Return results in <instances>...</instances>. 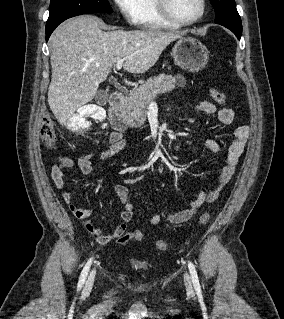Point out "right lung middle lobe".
<instances>
[{
  "instance_id": "obj_1",
  "label": "right lung middle lobe",
  "mask_w": 284,
  "mask_h": 319,
  "mask_svg": "<svg viewBox=\"0 0 284 319\" xmlns=\"http://www.w3.org/2000/svg\"><path fill=\"white\" fill-rule=\"evenodd\" d=\"M91 12L112 13L113 10L108 0H51L46 29L58 25L68 18Z\"/></svg>"
}]
</instances>
